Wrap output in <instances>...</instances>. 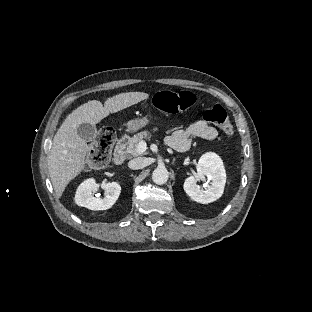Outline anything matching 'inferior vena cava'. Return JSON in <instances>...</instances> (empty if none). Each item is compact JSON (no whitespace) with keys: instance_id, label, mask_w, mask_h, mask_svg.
I'll list each match as a JSON object with an SVG mask.
<instances>
[{"instance_id":"obj_1","label":"inferior vena cava","mask_w":312,"mask_h":312,"mask_svg":"<svg viewBox=\"0 0 312 312\" xmlns=\"http://www.w3.org/2000/svg\"><path fill=\"white\" fill-rule=\"evenodd\" d=\"M146 165H147V160H146V158H143V157L135 158V159L128 162V167L132 170L142 169Z\"/></svg>"}]
</instances>
